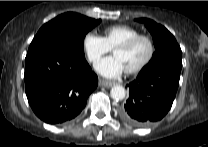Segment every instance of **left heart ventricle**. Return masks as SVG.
I'll list each match as a JSON object with an SVG mask.
<instances>
[{"mask_svg":"<svg viewBox=\"0 0 208 147\" xmlns=\"http://www.w3.org/2000/svg\"><path fill=\"white\" fill-rule=\"evenodd\" d=\"M149 53V45L147 41L140 40L129 49H117L114 51V56L118 57L126 70L139 65Z\"/></svg>","mask_w":208,"mask_h":147,"instance_id":"b2bd125f","label":"left heart ventricle"}]
</instances>
